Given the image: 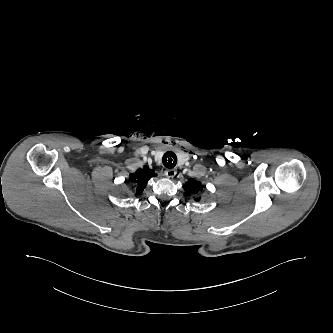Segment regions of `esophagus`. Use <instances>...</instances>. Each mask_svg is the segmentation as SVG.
<instances>
[{
	"label": "esophagus",
	"mask_w": 333,
	"mask_h": 333,
	"mask_svg": "<svg viewBox=\"0 0 333 333\" xmlns=\"http://www.w3.org/2000/svg\"><path fill=\"white\" fill-rule=\"evenodd\" d=\"M164 173L167 178H173L177 175V169H166Z\"/></svg>",
	"instance_id": "obj_1"
}]
</instances>
